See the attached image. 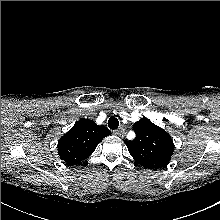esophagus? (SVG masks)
Masks as SVG:
<instances>
[{"instance_id": "34e87169", "label": "esophagus", "mask_w": 220, "mask_h": 220, "mask_svg": "<svg viewBox=\"0 0 220 220\" xmlns=\"http://www.w3.org/2000/svg\"><path fill=\"white\" fill-rule=\"evenodd\" d=\"M113 133L117 136L123 137L125 135V129L121 127V128L114 130Z\"/></svg>"}]
</instances>
